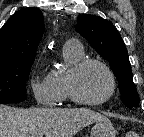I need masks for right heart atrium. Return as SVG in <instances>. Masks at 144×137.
Returning <instances> with one entry per match:
<instances>
[{
    "mask_svg": "<svg viewBox=\"0 0 144 137\" xmlns=\"http://www.w3.org/2000/svg\"><path fill=\"white\" fill-rule=\"evenodd\" d=\"M29 87L39 104L53 106L58 102L49 73L35 71L29 78Z\"/></svg>",
    "mask_w": 144,
    "mask_h": 137,
    "instance_id": "obj_1",
    "label": "right heart atrium"
}]
</instances>
